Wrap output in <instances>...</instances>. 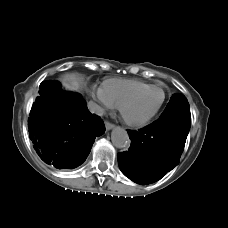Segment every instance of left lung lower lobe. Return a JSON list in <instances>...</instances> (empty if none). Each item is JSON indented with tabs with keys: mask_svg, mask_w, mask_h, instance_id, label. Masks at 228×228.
Wrapping results in <instances>:
<instances>
[{
	"mask_svg": "<svg viewBox=\"0 0 228 228\" xmlns=\"http://www.w3.org/2000/svg\"><path fill=\"white\" fill-rule=\"evenodd\" d=\"M190 125L191 117L161 115L139 131L128 130L131 146L117 155L123 174L139 184L161 179L179 163Z\"/></svg>",
	"mask_w": 228,
	"mask_h": 228,
	"instance_id": "obj_1",
	"label": "left lung lower lobe"
}]
</instances>
